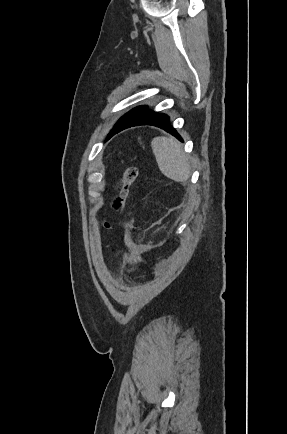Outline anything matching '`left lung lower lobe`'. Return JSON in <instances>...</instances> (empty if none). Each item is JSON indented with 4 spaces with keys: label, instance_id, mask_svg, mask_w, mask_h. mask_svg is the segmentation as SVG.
<instances>
[{
    "label": "left lung lower lobe",
    "instance_id": "1",
    "mask_svg": "<svg viewBox=\"0 0 287 434\" xmlns=\"http://www.w3.org/2000/svg\"><path fill=\"white\" fill-rule=\"evenodd\" d=\"M139 125H153L157 126L159 128H162L178 138L180 141H182V138L177 133V131L171 126L170 119L166 114H160L153 111L148 110V108H144L137 114L130 117L128 120H126L114 133H118L126 128L132 127V126H139ZM111 135L110 137H112ZM109 137V138H110Z\"/></svg>",
    "mask_w": 287,
    "mask_h": 434
}]
</instances>
